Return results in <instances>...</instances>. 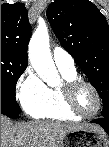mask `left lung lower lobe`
I'll list each match as a JSON object with an SVG mask.
<instances>
[{
	"label": "left lung lower lobe",
	"mask_w": 109,
	"mask_h": 147,
	"mask_svg": "<svg viewBox=\"0 0 109 147\" xmlns=\"http://www.w3.org/2000/svg\"><path fill=\"white\" fill-rule=\"evenodd\" d=\"M91 122L101 125L104 128V130L109 134V116L100 117V118L95 119Z\"/></svg>",
	"instance_id": "1"
}]
</instances>
